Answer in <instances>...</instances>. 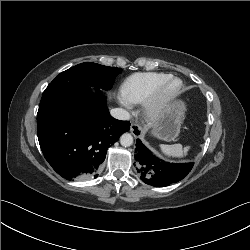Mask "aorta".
Listing matches in <instances>:
<instances>
[{
    "instance_id": "aorta-1",
    "label": "aorta",
    "mask_w": 250,
    "mask_h": 250,
    "mask_svg": "<svg viewBox=\"0 0 250 250\" xmlns=\"http://www.w3.org/2000/svg\"><path fill=\"white\" fill-rule=\"evenodd\" d=\"M120 144L124 147H129L133 144V137L131 134L129 133H124L121 137H120Z\"/></svg>"
}]
</instances>
